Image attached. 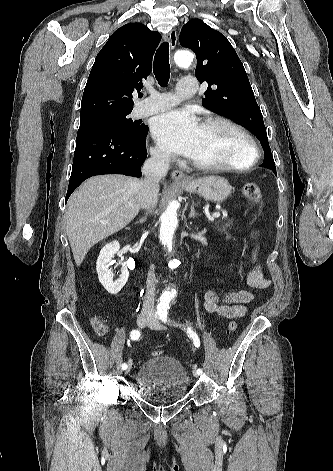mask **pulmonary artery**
<instances>
[{
    "mask_svg": "<svg viewBox=\"0 0 333 471\" xmlns=\"http://www.w3.org/2000/svg\"><path fill=\"white\" fill-rule=\"evenodd\" d=\"M196 89V80L193 77H184L179 81L175 94L152 93L151 96L139 104L137 114L138 116H147L164 111L177 104L181 99L193 96Z\"/></svg>",
    "mask_w": 333,
    "mask_h": 471,
    "instance_id": "obj_1",
    "label": "pulmonary artery"
}]
</instances>
